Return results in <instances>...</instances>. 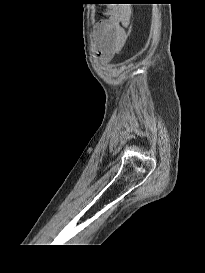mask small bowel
<instances>
[{
  "mask_svg": "<svg viewBox=\"0 0 205 273\" xmlns=\"http://www.w3.org/2000/svg\"><path fill=\"white\" fill-rule=\"evenodd\" d=\"M129 24V14L121 8H114L106 19L95 29L97 52L103 62L110 61L123 47L127 33L125 27Z\"/></svg>",
  "mask_w": 205,
  "mask_h": 273,
  "instance_id": "obj_1",
  "label": "small bowel"
}]
</instances>
